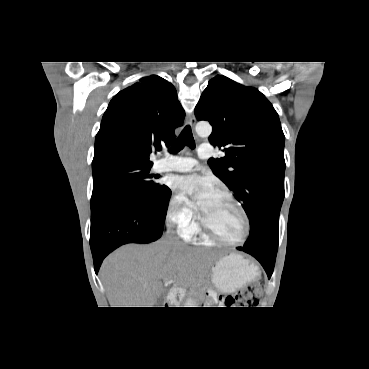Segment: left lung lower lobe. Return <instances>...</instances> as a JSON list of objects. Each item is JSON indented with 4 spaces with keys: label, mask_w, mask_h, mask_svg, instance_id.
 <instances>
[{
    "label": "left lung lower lobe",
    "mask_w": 369,
    "mask_h": 369,
    "mask_svg": "<svg viewBox=\"0 0 369 369\" xmlns=\"http://www.w3.org/2000/svg\"><path fill=\"white\" fill-rule=\"evenodd\" d=\"M237 249L244 251L252 255L253 257H255L265 269L268 275V278L271 277L273 269H274L277 251H273L269 249H253V248H248L245 246L238 247Z\"/></svg>",
    "instance_id": "obj_1"
}]
</instances>
